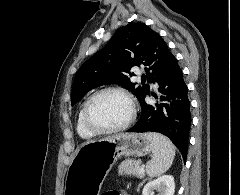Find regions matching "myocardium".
I'll use <instances>...</instances> for the list:
<instances>
[{
    "instance_id": "myocardium-1",
    "label": "myocardium",
    "mask_w": 240,
    "mask_h": 195,
    "mask_svg": "<svg viewBox=\"0 0 240 195\" xmlns=\"http://www.w3.org/2000/svg\"><path fill=\"white\" fill-rule=\"evenodd\" d=\"M107 93H117V94L123 95L130 103L131 114H130V117L128 118V120L119 126L111 127V128H101V127L96 126L92 122L91 116H90V111H91V107H92L93 103L99 97H101L102 95L107 94ZM136 116H137V108H136V104H135V101H134L132 95L128 91H126L122 88H118V87H108V88H104V89L97 91L87 101V103L84 107V113H83V119H84L85 126L93 134H98V135L116 134V133L123 132V131L127 130L134 123Z\"/></svg>"
}]
</instances>
